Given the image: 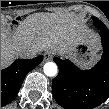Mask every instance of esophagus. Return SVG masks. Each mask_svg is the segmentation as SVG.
<instances>
[{
  "instance_id": "1",
  "label": "esophagus",
  "mask_w": 109,
  "mask_h": 109,
  "mask_svg": "<svg viewBox=\"0 0 109 109\" xmlns=\"http://www.w3.org/2000/svg\"><path fill=\"white\" fill-rule=\"evenodd\" d=\"M53 58V53L51 51H47L44 53V61H50Z\"/></svg>"
}]
</instances>
